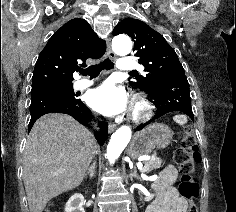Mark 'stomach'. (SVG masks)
<instances>
[{"label":"stomach","instance_id":"0dacf381","mask_svg":"<svg viewBox=\"0 0 236 212\" xmlns=\"http://www.w3.org/2000/svg\"><path fill=\"white\" fill-rule=\"evenodd\" d=\"M173 131L165 124L154 123L137 132L129 146L132 158L149 154L153 149H164L172 141Z\"/></svg>","mask_w":236,"mask_h":212}]
</instances>
